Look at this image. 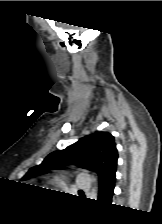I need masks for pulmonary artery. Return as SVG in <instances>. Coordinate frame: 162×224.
<instances>
[{
  "label": "pulmonary artery",
  "instance_id": "1",
  "mask_svg": "<svg viewBox=\"0 0 162 224\" xmlns=\"http://www.w3.org/2000/svg\"><path fill=\"white\" fill-rule=\"evenodd\" d=\"M75 182L77 188L87 189L90 186L89 177L83 173L77 175Z\"/></svg>",
  "mask_w": 162,
  "mask_h": 224
}]
</instances>
